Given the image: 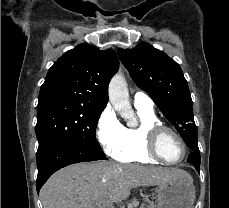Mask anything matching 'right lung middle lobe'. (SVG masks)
<instances>
[{
    "label": "right lung middle lobe",
    "instance_id": "obj_1",
    "mask_svg": "<svg viewBox=\"0 0 229 208\" xmlns=\"http://www.w3.org/2000/svg\"><path fill=\"white\" fill-rule=\"evenodd\" d=\"M100 112L87 106L63 99L38 103L36 136L37 154L61 141H76L101 150L95 138Z\"/></svg>",
    "mask_w": 229,
    "mask_h": 208
}]
</instances>
